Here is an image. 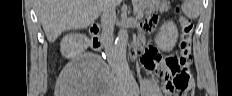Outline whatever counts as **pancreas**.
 Wrapping results in <instances>:
<instances>
[{
    "mask_svg": "<svg viewBox=\"0 0 232 96\" xmlns=\"http://www.w3.org/2000/svg\"><path fill=\"white\" fill-rule=\"evenodd\" d=\"M169 5L167 4H160L159 2H148L142 6L139 7V9L136 11L137 16L138 15H148L151 12L154 11H160V12H164V11H168L169 10Z\"/></svg>",
    "mask_w": 232,
    "mask_h": 96,
    "instance_id": "pancreas-1",
    "label": "pancreas"
}]
</instances>
